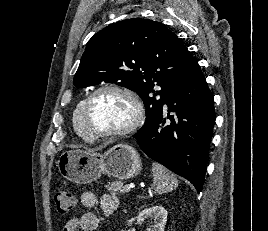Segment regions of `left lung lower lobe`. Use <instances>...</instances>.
<instances>
[{"instance_id":"0a47b994","label":"left lung lower lobe","mask_w":268,"mask_h":231,"mask_svg":"<svg viewBox=\"0 0 268 231\" xmlns=\"http://www.w3.org/2000/svg\"><path fill=\"white\" fill-rule=\"evenodd\" d=\"M215 118L213 95L196 63L171 87L155 123L133 137L148 157L189 180L200 192Z\"/></svg>"}]
</instances>
